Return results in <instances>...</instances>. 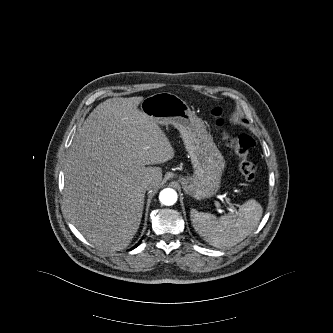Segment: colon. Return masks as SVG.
<instances>
[{"label": "colon", "mask_w": 333, "mask_h": 333, "mask_svg": "<svg viewBox=\"0 0 333 333\" xmlns=\"http://www.w3.org/2000/svg\"><path fill=\"white\" fill-rule=\"evenodd\" d=\"M211 116L215 119V124L218 128L224 127L222 118L223 111L220 107H212L210 110ZM223 136L228 140L229 145L235 150L239 156V170L246 181L254 182L256 178V164L250 159L249 152L255 146V142L251 136L246 133H241L238 136H231L223 132Z\"/></svg>", "instance_id": "obj_1"}]
</instances>
